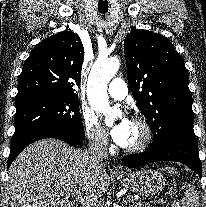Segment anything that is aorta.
I'll return each instance as SVG.
<instances>
[{"instance_id":"762f6f07","label":"aorta","mask_w":206,"mask_h":207,"mask_svg":"<svg viewBox=\"0 0 206 207\" xmlns=\"http://www.w3.org/2000/svg\"><path fill=\"white\" fill-rule=\"evenodd\" d=\"M120 67L117 57L98 58L94 63L87 84V98L93 110L105 115L108 122L114 118V111L109 105L107 85Z\"/></svg>"}]
</instances>
